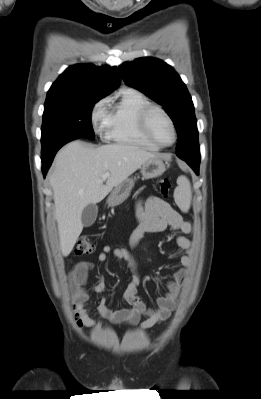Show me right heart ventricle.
I'll return each mask as SVG.
<instances>
[{"instance_id": "1", "label": "right heart ventricle", "mask_w": 261, "mask_h": 399, "mask_svg": "<svg viewBox=\"0 0 261 399\" xmlns=\"http://www.w3.org/2000/svg\"><path fill=\"white\" fill-rule=\"evenodd\" d=\"M149 104L148 98L140 91L122 89L108 110L106 138L121 144L157 150L158 147L142 135L138 125L140 111Z\"/></svg>"}]
</instances>
